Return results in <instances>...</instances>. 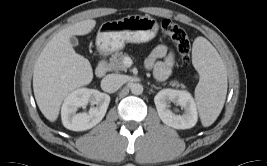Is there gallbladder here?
<instances>
[{
    "label": "gallbladder",
    "mask_w": 267,
    "mask_h": 166,
    "mask_svg": "<svg viewBox=\"0 0 267 166\" xmlns=\"http://www.w3.org/2000/svg\"><path fill=\"white\" fill-rule=\"evenodd\" d=\"M70 43L74 47L78 46V44H79L78 39L75 36L70 37Z\"/></svg>",
    "instance_id": "obj_1"
}]
</instances>
